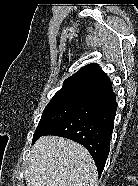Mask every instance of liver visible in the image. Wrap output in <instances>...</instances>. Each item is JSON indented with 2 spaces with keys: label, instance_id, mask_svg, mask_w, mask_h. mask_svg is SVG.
I'll return each instance as SVG.
<instances>
[{
  "label": "liver",
  "instance_id": "obj_1",
  "mask_svg": "<svg viewBox=\"0 0 138 186\" xmlns=\"http://www.w3.org/2000/svg\"><path fill=\"white\" fill-rule=\"evenodd\" d=\"M97 169L82 145L44 136L31 149L27 186H96Z\"/></svg>",
  "mask_w": 138,
  "mask_h": 186
}]
</instances>
